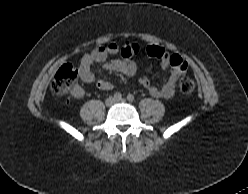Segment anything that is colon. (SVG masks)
Segmentation results:
<instances>
[{"mask_svg": "<svg viewBox=\"0 0 248 194\" xmlns=\"http://www.w3.org/2000/svg\"><path fill=\"white\" fill-rule=\"evenodd\" d=\"M79 71L72 64H64L57 71L53 83L52 91L57 96H64L74 89ZM195 89V82L190 76H183L178 82V90L182 94H191Z\"/></svg>", "mask_w": 248, "mask_h": 194, "instance_id": "1", "label": "colon"}]
</instances>
